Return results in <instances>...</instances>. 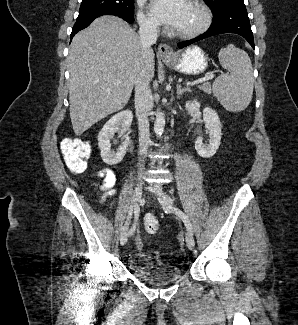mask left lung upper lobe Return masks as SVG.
Listing matches in <instances>:
<instances>
[{"label":"left lung upper lobe","mask_w":298,"mask_h":325,"mask_svg":"<svg viewBox=\"0 0 298 325\" xmlns=\"http://www.w3.org/2000/svg\"><path fill=\"white\" fill-rule=\"evenodd\" d=\"M213 9V15L236 4H244L243 0H205Z\"/></svg>","instance_id":"left-lung-upper-lobe-1"}]
</instances>
